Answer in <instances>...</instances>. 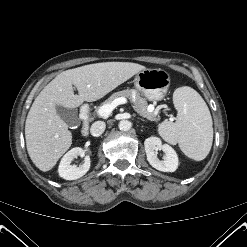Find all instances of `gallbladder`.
Listing matches in <instances>:
<instances>
[{
  "mask_svg": "<svg viewBox=\"0 0 247 247\" xmlns=\"http://www.w3.org/2000/svg\"><path fill=\"white\" fill-rule=\"evenodd\" d=\"M57 114L63 119L69 126H79L80 119L78 118V113L76 109H68L63 106H56Z\"/></svg>",
  "mask_w": 247,
  "mask_h": 247,
  "instance_id": "1",
  "label": "gallbladder"
}]
</instances>
